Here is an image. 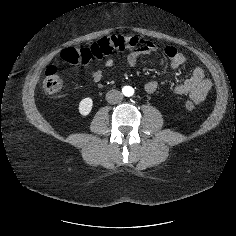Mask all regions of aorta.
Returning <instances> with one entry per match:
<instances>
[{"instance_id": "762f6f07", "label": "aorta", "mask_w": 236, "mask_h": 236, "mask_svg": "<svg viewBox=\"0 0 236 236\" xmlns=\"http://www.w3.org/2000/svg\"><path fill=\"white\" fill-rule=\"evenodd\" d=\"M123 93L126 96H131L133 94V88L130 86H126L123 88Z\"/></svg>"}]
</instances>
